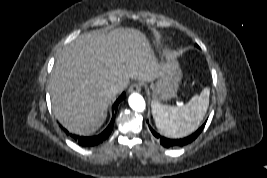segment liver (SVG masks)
Returning a JSON list of instances; mask_svg holds the SVG:
<instances>
[{"instance_id":"obj_1","label":"liver","mask_w":267,"mask_h":178,"mask_svg":"<svg viewBox=\"0 0 267 178\" xmlns=\"http://www.w3.org/2000/svg\"><path fill=\"white\" fill-rule=\"evenodd\" d=\"M173 61H159L145 34L134 28L83 33L56 59L49 83L54 115L68 131L90 135L104 123L115 96L107 92L109 85L122 92L130 78L152 82Z\"/></svg>"}]
</instances>
